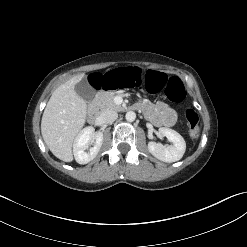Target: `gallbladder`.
Instances as JSON below:
<instances>
[{
	"mask_svg": "<svg viewBox=\"0 0 247 247\" xmlns=\"http://www.w3.org/2000/svg\"><path fill=\"white\" fill-rule=\"evenodd\" d=\"M76 93L85 101L90 102L94 98L96 91L90 85L87 77L83 78L79 83L75 85Z\"/></svg>",
	"mask_w": 247,
	"mask_h": 247,
	"instance_id": "gallbladder-1",
	"label": "gallbladder"
}]
</instances>
